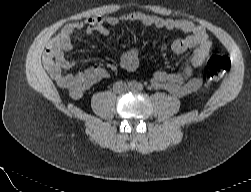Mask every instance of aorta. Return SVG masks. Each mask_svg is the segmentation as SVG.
<instances>
[{
  "instance_id": "obj_1",
  "label": "aorta",
  "mask_w": 251,
  "mask_h": 192,
  "mask_svg": "<svg viewBox=\"0 0 251 192\" xmlns=\"http://www.w3.org/2000/svg\"><path fill=\"white\" fill-rule=\"evenodd\" d=\"M142 89V85H135L134 90L135 91H140Z\"/></svg>"
}]
</instances>
